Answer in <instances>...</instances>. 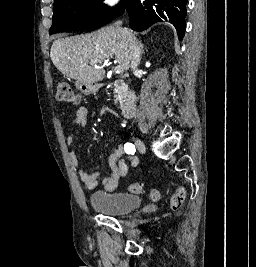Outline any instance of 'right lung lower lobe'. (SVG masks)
<instances>
[{
  "instance_id": "98d812e1",
  "label": "right lung lower lobe",
  "mask_w": 256,
  "mask_h": 267,
  "mask_svg": "<svg viewBox=\"0 0 256 267\" xmlns=\"http://www.w3.org/2000/svg\"><path fill=\"white\" fill-rule=\"evenodd\" d=\"M188 0H130L126 6L130 28L143 31L156 22H170L182 40L186 27Z\"/></svg>"
}]
</instances>
